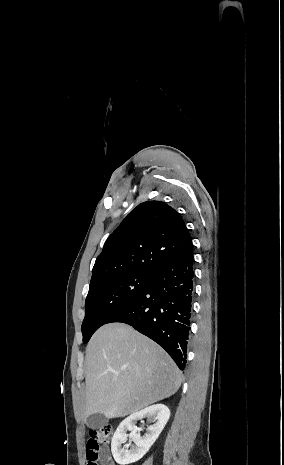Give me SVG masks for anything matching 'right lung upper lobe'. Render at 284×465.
I'll return each mask as SVG.
<instances>
[{
    "instance_id": "1",
    "label": "right lung upper lobe",
    "mask_w": 284,
    "mask_h": 465,
    "mask_svg": "<svg viewBox=\"0 0 284 465\" xmlns=\"http://www.w3.org/2000/svg\"><path fill=\"white\" fill-rule=\"evenodd\" d=\"M181 215L161 201L141 203L106 240L90 286L126 274L154 275L192 247Z\"/></svg>"
}]
</instances>
